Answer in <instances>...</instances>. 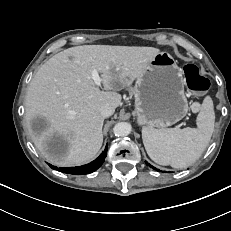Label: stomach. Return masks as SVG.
Masks as SVG:
<instances>
[{"mask_svg": "<svg viewBox=\"0 0 231 231\" xmlns=\"http://www.w3.org/2000/svg\"><path fill=\"white\" fill-rule=\"evenodd\" d=\"M132 92L138 123L149 128L169 127L189 109L182 71L167 52L155 56L136 79Z\"/></svg>", "mask_w": 231, "mask_h": 231, "instance_id": "1", "label": "stomach"}]
</instances>
